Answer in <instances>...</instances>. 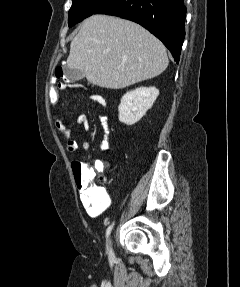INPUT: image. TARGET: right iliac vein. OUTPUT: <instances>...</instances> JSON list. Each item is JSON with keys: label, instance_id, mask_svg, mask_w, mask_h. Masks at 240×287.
<instances>
[{"label": "right iliac vein", "instance_id": "right-iliac-vein-1", "mask_svg": "<svg viewBox=\"0 0 240 287\" xmlns=\"http://www.w3.org/2000/svg\"><path fill=\"white\" fill-rule=\"evenodd\" d=\"M109 254H110V255H112V254H113V249H112V243H111V242H110Z\"/></svg>", "mask_w": 240, "mask_h": 287}]
</instances>
